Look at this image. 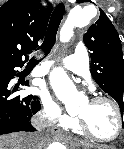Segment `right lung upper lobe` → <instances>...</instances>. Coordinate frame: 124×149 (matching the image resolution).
Instances as JSON below:
<instances>
[{"label": "right lung upper lobe", "instance_id": "cb5924a9", "mask_svg": "<svg viewBox=\"0 0 124 149\" xmlns=\"http://www.w3.org/2000/svg\"><path fill=\"white\" fill-rule=\"evenodd\" d=\"M41 0H8L0 7V67H22V60L38 47L52 11Z\"/></svg>", "mask_w": 124, "mask_h": 149}]
</instances>
